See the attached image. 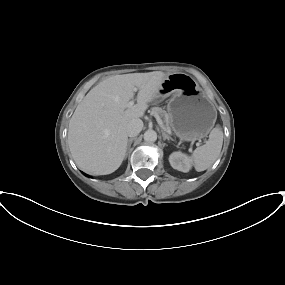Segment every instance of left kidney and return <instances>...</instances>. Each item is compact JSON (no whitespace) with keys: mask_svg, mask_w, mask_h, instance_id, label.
<instances>
[{"mask_svg":"<svg viewBox=\"0 0 285 285\" xmlns=\"http://www.w3.org/2000/svg\"><path fill=\"white\" fill-rule=\"evenodd\" d=\"M169 162L174 169L181 172L186 173L191 169V159L181 152L172 153L169 157Z\"/></svg>","mask_w":285,"mask_h":285,"instance_id":"1","label":"left kidney"}]
</instances>
